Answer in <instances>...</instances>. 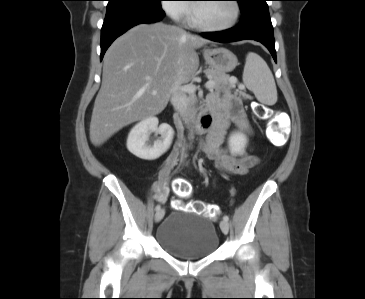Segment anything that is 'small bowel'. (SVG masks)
I'll return each mask as SVG.
<instances>
[{
	"label": "small bowel",
	"instance_id": "obj_1",
	"mask_svg": "<svg viewBox=\"0 0 365 299\" xmlns=\"http://www.w3.org/2000/svg\"><path fill=\"white\" fill-rule=\"evenodd\" d=\"M211 100L215 104L214 126L205 140L204 150L221 171L232 175H244L258 164L259 156L253 153L236 156L223 148L224 136L229 126L235 125L251 133V127L241 102L234 96L220 98L217 93L211 95ZM175 163L174 158H170L165 163L155 184L156 194L160 200H165L168 196L167 179Z\"/></svg>",
	"mask_w": 365,
	"mask_h": 299
}]
</instances>
